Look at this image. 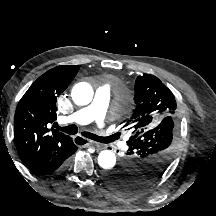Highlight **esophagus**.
<instances>
[{
    "instance_id": "34e87169",
    "label": "esophagus",
    "mask_w": 216,
    "mask_h": 216,
    "mask_svg": "<svg viewBox=\"0 0 216 216\" xmlns=\"http://www.w3.org/2000/svg\"><path fill=\"white\" fill-rule=\"evenodd\" d=\"M73 140H74L75 143L79 142V143H83L84 145H94V146H96V148L102 149V146L100 144H98V143H96L94 141L85 139V138H83L81 136H75Z\"/></svg>"
}]
</instances>
